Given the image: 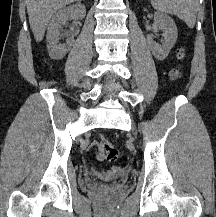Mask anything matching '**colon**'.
Instances as JSON below:
<instances>
[{
	"instance_id": "obj_1",
	"label": "colon",
	"mask_w": 216,
	"mask_h": 217,
	"mask_svg": "<svg viewBox=\"0 0 216 217\" xmlns=\"http://www.w3.org/2000/svg\"><path fill=\"white\" fill-rule=\"evenodd\" d=\"M177 56L179 59L184 58V50L182 48L178 49ZM170 76L173 80H178L182 76L180 68H174L170 72ZM98 148V158L100 161L114 162L117 160L119 151L116 146L107 138H100L97 142Z\"/></svg>"
}]
</instances>
